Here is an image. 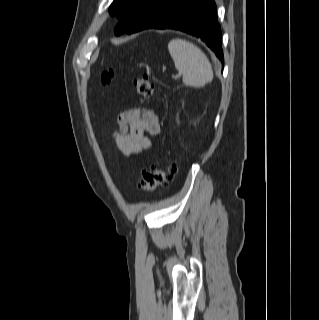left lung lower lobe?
<instances>
[{
  "label": "left lung lower lobe",
  "mask_w": 319,
  "mask_h": 320,
  "mask_svg": "<svg viewBox=\"0 0 319 320\" xmlns=\"http://www.w3.org/2000/svg\"><path fill=\"white\" fill-rule=\"evenodd\" d=\"M174 29L201 39L223 63L221 30L213 0H157L126 33L144 29Z\"/></svg>",
  "instance_id": "obj_1"
}]
</instances>
